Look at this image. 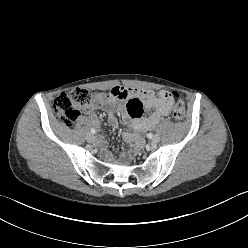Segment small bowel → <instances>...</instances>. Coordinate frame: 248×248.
Wrapping results in <instances>:
<instances>
[{
    "label": "small bowel",
    "instance_id": "small-bowel-1",
    "mask_svg": "<svg viewBox=\"0 0 248 248\" xmlns=\"http://www.w3.org/2000/svg\"><path fill=\"white\" fill-rule=\"evenodd\" d=\"M94 108H107L109 123L116 127L118 125L115 109L122 111L124 119L136 131H147L153 128L162 117L169 116L172 111L171 101L165 98L161 92L153 90L130 89L125 87H114L107 94H97ZM144 110H153L148 116H143ZM92 115V112L89 111ZM132 138L131 134H127ZM99 144L105 147L106 141L101 138Z\"/></svg>",
    "mask_w": 248,
    "mask_h": 248
}]
</instances>
